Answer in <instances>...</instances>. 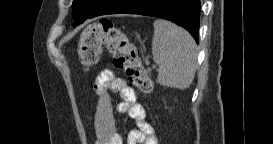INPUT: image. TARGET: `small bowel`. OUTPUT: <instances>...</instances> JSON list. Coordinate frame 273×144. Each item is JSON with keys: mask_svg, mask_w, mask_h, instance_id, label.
Masks as SVG:
<instances>
[{"mask_svg": "<svg viewBox=\"0 0 273 144\" xmlns=\"http://www.w3.org/2000/svg\"><path fill=\"white\" fill-rule=\"evenodd\" d=\"M93 91L97 98L94 126L98 144H123L113 116L111 93L119 94L117 110L127 115L137 127L128 132L126 143H158L155 131L146 119L145 109L137 101L135 90L123 78L112 70H102L94 82Z\"/></svg>", "mask_w": 273, "mask_h": 144, "instance_id": "obj_1", "label": "small bowel"}]
</instances>
